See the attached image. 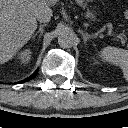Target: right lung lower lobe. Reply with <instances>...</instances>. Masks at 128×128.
I'll use <instances>...</instances> for the list:
<instances>
[{
    "label": "right lung lower lobe",
    "instance_id": "right-lung-lower-lobe-1",
    "mask_svg": "<svg viewBox=\"0 0 128 128\" xmlns=\"http://www.w3.org/2000/svg\"><path fill=\"white\" fill-rule=\"evenodd\" d=\"M36 72L31 76V77H29L28 79H26V80H24V81H22L21 83H23V82H26V81H28V80H31V79H33L35 76H36Z\"/></svg>",
    "mask_w": 128,
    "mask_h": 128
}]
</instances>
